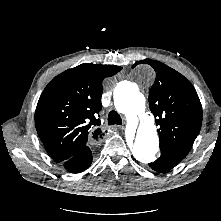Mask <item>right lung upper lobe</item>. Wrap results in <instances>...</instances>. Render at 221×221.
Wrapping results in <instances>:
<instances>
[{"label": "right lung upper lobe", "mask_w": 221, "mask_h": 221, "mask_svg": "<svg viewBox=\"0 0 221 221\" xmlns=\"http://www.w3.org/2000/svg\"><path fill=\"white\" fill-rule=\"evenodd\" d=\"M115 65L85 63L56 76L44 89L35 125L46 151L58 163L101 138L98 128L102 81L119 72Z\"/></svg>", "instance_id": "right-lung-upper-lobe-1"}]
</instances>
